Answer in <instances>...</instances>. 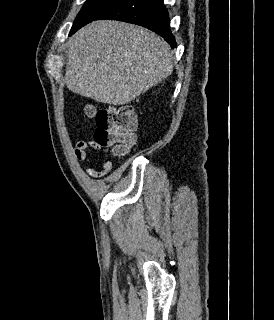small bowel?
I'll return each mask as SVG.
<instances>
[{
    "mask_svg": "<svg viewBox=\"0 0 274 320\" xmlns=\"http://www.w3.org/2000/svg\"><path fill=\"white\" fill-rule=\"evenodd\" d=\"M99 145H100L99 140L79 141L74 151L75 158L78 161H90L87 151L92 148L99 147ZM103 151H105L106 153H109L111 151V148L109 146H106L105 148H103ZM100 167H101V171H96L93 168H85V172L92 178L97 179V178L105 177L111 172L112 164L111 162L106 161L101 163Z\"/></svg>",
    "mask_w": 274,
    "mask_h": 320,
    "instance_id": "small-bowel-1",
    "label": "small bowel"
}]
</instances>
